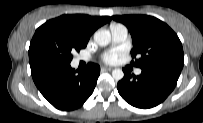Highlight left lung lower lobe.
Segmentation results:
<instances>
[{"label":"left lung lower lobe","instance_id":"obj_1","mask_svg":"<svg viewBox=\"0 0 203 123\" xmlns=\"http://www.w3.org/2000/svg\"><path fill=\"white\" fill-rule=\"evenodd\" d=\"M124 77L117 84L121 97L130 105L148 109L162 103L175 88L181 70L173 68H142L139 76L123 69Z\"/></svg>","mask_w":203,"mask_h":123}]
</instances>
